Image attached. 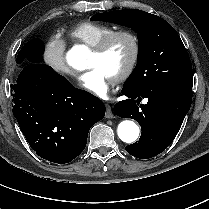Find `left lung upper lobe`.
<instances>
[{"instance_id": "1", "label": "left lung upper lobe", "mask_w": 209, "mask_h": 209, "mask_svg": "<svg viewBox=\"0 0 209 209\" xmlns=\"http://www.w3.org/2000/svg\"><path fill=\"white\" fill-rule=\"evenodd\" d=\"M91 19L113 22L137 32V65L124 83L125 87L140 89L192 77L189 55L178 33L164 19L137 9L98 13Z\"/></svg>"}]
</instances>
